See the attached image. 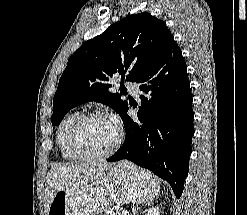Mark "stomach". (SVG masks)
Instances as JSON below:
<instances>
[{
  "label": "stomach",
  "mask_w": 247,
  "mask_h": 215,
  "mask_svg": "<svg viewBox=\"0 0 247 215\" xmlns=\"http://www.w3.org/2000/svg\"><path fill=\"white\" fill-rule=\"evenodd\" d=\"M158 193L159 185L149 172L123 161L83 190H59L47 215H95L109 208L112 202L145 203Z\"/></svg>",
  "instance_id": "stomach-1"
}]
</instances>
